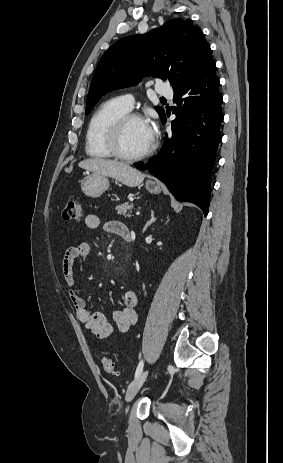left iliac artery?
<instances>
[{"label":"left iliac artery","instance_id":"obj_1","mask_svg":"<svg viewBox=\"0 0 283 463\" xmlns=\"http://www.w3.org/2000/svg\"><path fill=\"white\" fill-rule=\"evenodd\" d=\"M143 365H144L143 360H141L139 362L138 366H137V369H136V372H135V378H137L141 374V372L143 370Z\"/></svg>","mask_w":283,"mask_h":463}]
</instances>
